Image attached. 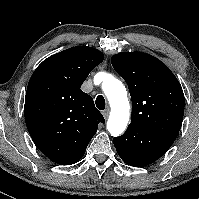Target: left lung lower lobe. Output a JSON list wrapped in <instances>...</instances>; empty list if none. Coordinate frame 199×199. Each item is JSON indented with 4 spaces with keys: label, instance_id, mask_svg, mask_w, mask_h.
Masks as SVG:
<instances>
[{
    "label": "left lung lower lobe",
    "instance_id": "obj_1",
    "mask_svg": "<svg viewBox=\"0 0 199 199\" xmlns=\"http://www.w3.org/2000/svg\"><path fill=\"white\" fill-rule=\"evenodd\" d=\"M121 159L134 167L151 164L163 156L173 144L172 141L129 124L126 132L113 139Z\"/></svg>",
    "mask_w": 199,
    "mask_h": 199
}]
</instances>
